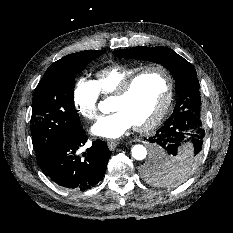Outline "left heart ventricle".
<instances>
[{
	"label": "left heart ventricle",
	"instance_id": "1",
	"mask_svg": "<svg viewBox=\"0 0 233 233\" xmlns=\"http://www.w3.org/2000/svg\"><path fill=\"white\" fill-rule=\"evenodd\" d=\"M166 88V77L161 71H147L136 80L124 97L111 99V108L123 111L134 126L144 124L160 109Z\"/></svg>",
	"mask_w": 233,
	"mask_h": 233
}]
</instances>
